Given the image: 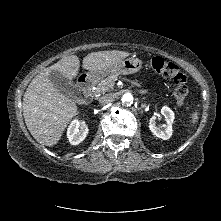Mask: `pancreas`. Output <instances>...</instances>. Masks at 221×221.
<instances>
[{"instance_id": "pancreas-1", "label": "pancreas", "mask_w": 221, "mask_h": 221, "mask_svg": "<svg viewBox=\"0 0 221 221\" xmlns=\"http://www.w3.org/2000/svg\"><path fill=\"white\" fill-rule=\"evenodd\" d=\"M116 80H117V75H111L105 78L104 80L100 81L97 84L96 89L94 91L95 94L110 91L114 87Z\"/></svg>"}]
</instances>
